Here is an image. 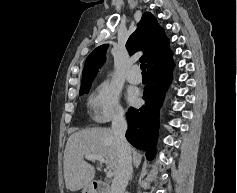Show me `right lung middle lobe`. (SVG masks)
Returning a JSON list of instances; mask_svg holds the SVG:
<instances>
[{
    "label": "right lung middle lobe",
    "mask_w": 237,
    "mask_h": 193,
    "mask_svg": "<svg viewBox=\"0 0 237 193\" xmlns=\"http://www.w3.org/2000/svg\"><path fill=\"white\" fill-rule=\"evenodd\" d=\"M89 89H90V87L80 89V93L81 94L88 93Z\"/></svg>",
    "instance_id": "1"
}]
</instances>
